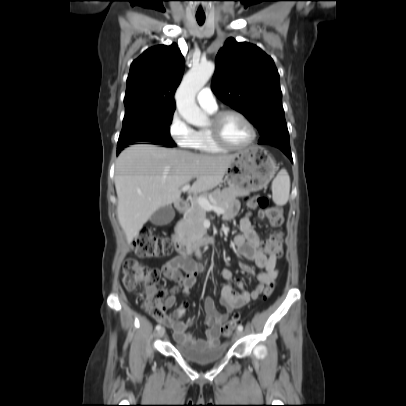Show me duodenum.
I'll return each instance as SVG.
<instances>
[{
    "mask_svg": "<svg viewBox=\"0 0 406 406\" xmlns=\"http://www.w3.org/2000/svg\"><path fill=\"white\" fill-rule=\"evenodd\" d=\"M187 202L185 200L176 201L174 204L175 210L182 213L187 209ZM175 248L183 255L188 256L193 251L199 250L201 247L214 243V238L209 234H197L194 236H179L174 234L172 236Z\"/></svg>",
    "mask_w": 406,
    "mask_h": 406,
    "instance_id": "1",
    "label": "duodenum"
}]
</instances>
